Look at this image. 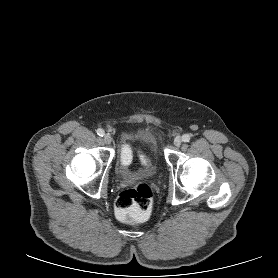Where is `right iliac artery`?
<instances>
[{"label":"right iliac artery","instance_id":"1","mask_svg":"<svg viewBox=\"0 0 278 278\" xmlns=\"http://www.w3.org/2000/svg\"><path fill=\"white\" fill-rule=\"evenodd\" d=\"M97 134H98L99 136L102 137V136H104L105 132H104L103 129L99 128V129L97 130Z\"/></svg>","mask_w":278,"mask_h":278}]
</instances>
